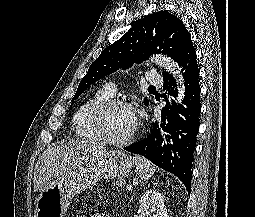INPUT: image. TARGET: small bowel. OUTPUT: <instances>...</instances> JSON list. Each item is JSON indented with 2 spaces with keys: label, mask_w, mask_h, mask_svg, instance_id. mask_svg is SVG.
<instances>
[{
  "label": "small bowel",
  "mask_w": 255,
  "mask_h": 217,
  "mask_svg": "<svg viewBox=\"0 0 255 217\" xmlns=\"http://www.w3.org/2000/svg\"><path fill=\"white\" fill-rule=\"evenodd\" d=\"M91 217H114V216L108 213H97L92 215Z\"/></svg>",
  "instance_id": "c3829d8e"
}]
</instances>
